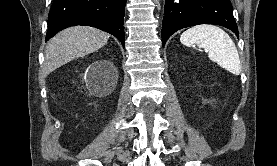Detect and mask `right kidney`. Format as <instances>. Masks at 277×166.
Instances as JSON below:
<instances>
[{"label":"right kidney","instance_id":"obj_1","mask_svg":"<svg viewBox=\"0 0 277 166\" xmlns=\"http://www.w3.org/2000/svg\"><path fill=\"white\" fill-rule=\"evenodd\" d=\"M106 64V61H99L95 63V69L101 68L102 65Z\"/></svg>","mask_w":277,"mask_h":166}]
</instances>
